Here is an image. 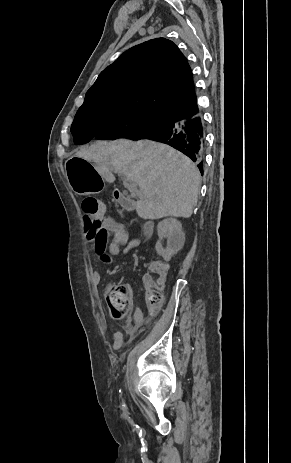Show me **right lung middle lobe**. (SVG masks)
<instances>
[{"mask_svg":"<svg viewBox=\"0 0 291 463\" xmlns=\"http://www.w3.org/2000/svg\"><path fill=\"white\" fill-rule=\"evenodd\" d=\"M165 116L139 107L118 104L92 106L77 111L71 132L76 144H84L93 138L136 140L144 133L161 126Z\"/></svg>","mask_w":291,"mask_h":463,"instance_id":"obj_1","label":"right lung middle lobe"}]
</instances>
